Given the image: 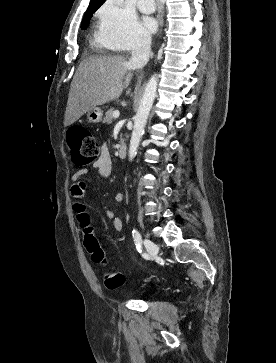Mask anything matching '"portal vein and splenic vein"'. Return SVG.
I'll return each instance as SVG.
<instances>
[{"label": "portal vein and splenic vein", "instance_id": "obj_1", "mask_svg": "<svg viewBox=\"0 0 276 363\" xmlns=\"http://www.w3.org/2000/svg\"><path fill=\"white\" fill-rule=\"evenodd\" d=\"M112 115L114 118H118L120 113L118 111H114Z\"/></svg>", "mask_w": 276, "mask_h": 363}]
</instances>
